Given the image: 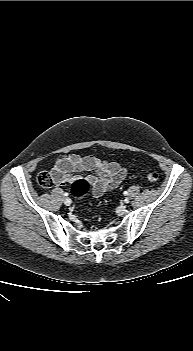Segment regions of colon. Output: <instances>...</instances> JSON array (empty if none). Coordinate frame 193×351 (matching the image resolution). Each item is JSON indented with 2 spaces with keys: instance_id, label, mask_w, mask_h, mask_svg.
<instances>
[{
  "instance_id": "5ec220e1",
  "label": "colon",
  "mask_w": 193,
  "mask_h": 351,
  "mask_svg": "<svg viewBox=\"0 0 193 351\" xmlns=\"http://www.w3.org/2000/svg\"><path fill=\"white\" fill-rule=\"evenodd\" d=\"M145 177L150 182H155L159 178L158 171L155 168H148L145 171ZM37 183L42 188H50L53 185V179L47 172H40L37 175ZM92 189L90 182L86 179L79 178L75 179L70 186V192L76 199H80L84 195L88 194Z\"/></svg>"
}]
</instances>
